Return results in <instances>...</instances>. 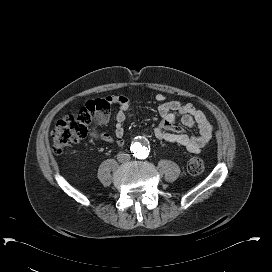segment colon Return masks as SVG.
<instances>
[{
  "instance_id": "5ec220e1",
  "label": "colon",
  "mask_w": 272,
  "mask_h": 272,
  "mask_svg": "<svg viewBox=\"0 0 272 272\" xmlns=\"http://www.w3.org/2000/svg\"><path fill=\"white\" fill-rule=\"evenodd\" d=\"M111 102L107 98L89 101L77 113L69 114L59 120L52 130V151L60 154L85 138L94 121L106 122L110 114ZM186 169L191 175L204 171V162L200 157H190Z\"/></svg>"
}]
</instances>
